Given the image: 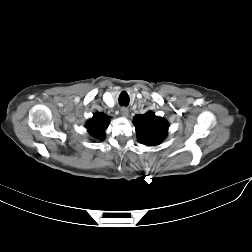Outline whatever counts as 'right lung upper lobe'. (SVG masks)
Instances as JSON below:
<instances>
[{"mask_svg": "<svg viewBox=\"0 0 252 252\" xmlns=\"http://www.w3.org/2000/svg\"><path fill=\"white\" fill-rule=\"evenodd\" d=\"M110 123V117L104 113H97L93 119L86 124L89 134L95 139L103 140L105 129Z\"/></svg>", "mask_w": 252, "mask_h": 252, "instance_id": "right-lung-upper-lobe-1", "label": "right lung upper lobe"}]
</instances>
